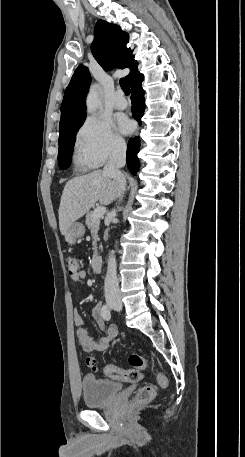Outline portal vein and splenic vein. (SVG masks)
Masks as SVG:
<instances>
[{"mask_svg":"<svg viewBox=\"0 0 245 457\" xmlns=\"http://www.w3.org/2000/svg\"><path fill=\"white\" fill-rule=\"evenodd\" d=\"M106 212V206H97L95 210H93L92 216H97V218H100V216H103Z\"/></svg>","mask_w":245,"mask_h":457,"instance_id":"obj_1","label":"portal vein and splenic vein"}]
</instances>
